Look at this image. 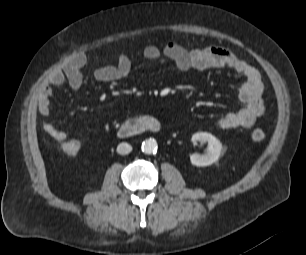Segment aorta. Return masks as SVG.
Returning <instances> with one entry per match:
<instances>
[{
  "label": "aorta",
  "instance_id": "762f6f07",
  "mask_svg": "<svg viewBox=\"0 0 306 255\" xmlns=\"http://www.w3.org/2000/svg\"><path fill=\"white\" fill-rule=\"evenodd\" d=\"M141 150L145 154H152L157 151V142L154 139L145 140L142 143Z\"/></svg>",
  "mask_w": 306,
  "mask_h": 255
}]
</instances>
